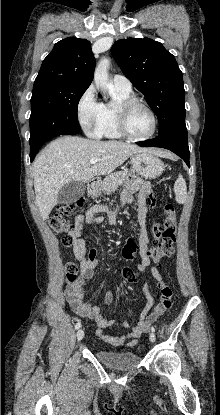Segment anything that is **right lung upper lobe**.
<instances>
[{
	"label": "right lung upper lobe",
	"mask_w": 220,
	"mask_h": 415,
	"mask_svg": "<svg viewBox=\"0 0 220 415\" xmlns=\"http://www.w3.org/2000/svg\"><path fill=\"white\" fill-rule=\"evenodd\" d=\"M95 63L88 40L68 37L54 45L44 59L35 83L62 82L89 86Z\"/></svg>",
	"instance_id": "obj_1"
}]
</instances>
